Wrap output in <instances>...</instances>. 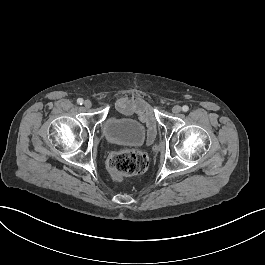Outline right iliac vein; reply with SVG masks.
I'll use <instances>...</instances> for the list:
<instances>
[{
  "label": "right iliac vein",
  "mask_w": 265,
  "mask_h": 265,
  "mask_svg": "<svg viewBox=\"0 0 265 265\" xmlns=\"http://www.w3.org/2000/svg\"><path fill=\"white\" fill-rule=\"evenodd\" d=\"M84 106L86 107V108H91V106H92V102L90 101V100H86L85 102H84Z\"/></svg>",
  "instance_id": "1"
}]
</instances>
